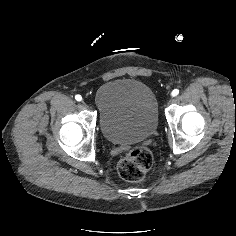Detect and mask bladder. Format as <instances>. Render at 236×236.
Returning <instances> with one entry per match:
<instances>
[{"label":"bladder","mask_w":236,"mask_h":236,"mask_svg":"<svg viewBox=\"0 0 236 236\" xmlns=\"http://www.w3.org/2000/svg\"><path fill=\"white\" fill-rule=\"evenodd\" d=\"M100 129L114 144H131L150 138L159 121L158 100L146 84L133 79L104 83L95 93Z\"/></svg>","instance_id":"1"}]
</instances>
